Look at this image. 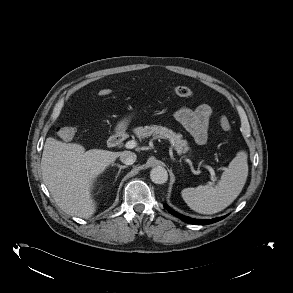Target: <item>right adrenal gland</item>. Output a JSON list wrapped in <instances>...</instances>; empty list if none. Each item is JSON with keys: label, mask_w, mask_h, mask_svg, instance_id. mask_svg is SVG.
<instances>
[{"label": "right adrenal gland", "mask_w": 293, "mask_h": 293, "mask_svg": "<svg viewBox=\"0 0 293 293\" xmlns=\"http://www.w3.org/2000/svg\"><path fill=\"white\" fill-rule=\"evenodd\" d=\"M115 165L119 168L118 173H117V175L115 177V180H117V177L119 176L121 170L127 168L128 166H126V165H120V164H115Z\"/></svg>", "instance_id": "obj_1"}]
</instances>
